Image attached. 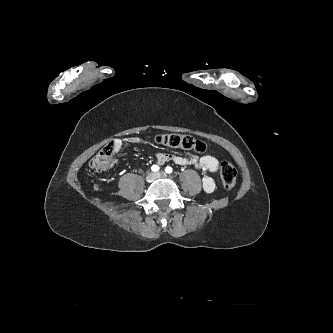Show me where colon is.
Instances as JSON below:
<instances>
[{
  "mask_svg": "<svg viewBox=\"0 0 333 333\" xmlns=\"http://www.w3.org/2000/svg\"><path fill=\"white\" fill-rule=\"evenodd\" d=\"M157 142L172 148L190 150L196 153H203L206 150V144L190 135L178 133L162 134L157 137ZM114 144L107 145L99 154L91 161L90 166L95 170H103L107 168L114 152ZM220 176L222 184L226 190H232L236 184L237 171L235 167L228 161L220 164Z\"/></svg>",
  "mask_w": 333,
  "mask_h": 333,
  "instance_id": "obj_1",
  "label": "colon"
}]
</instances>
